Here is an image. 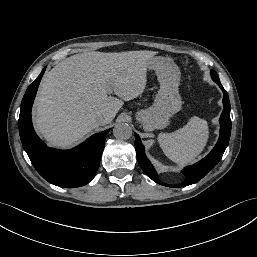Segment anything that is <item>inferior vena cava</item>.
Listing matches in <instances>:
<instances>
[{
	"label": "inferior vena cava",
	"instance_id": "602c4592",
	"mask_svg": "<svg viewBox=\"0 0 257 257\" xmlns=\"http://www.w3.org/2000/svg\"><path fill=\"white\" fill-rule=\"evenodd\" d=\"M111 119L109 114L99 115L96 119L97 123L99 125L106 124Z\"/></svg>",
	"mask_w": 257,
	"mask_h": 257
}]
</instances>
